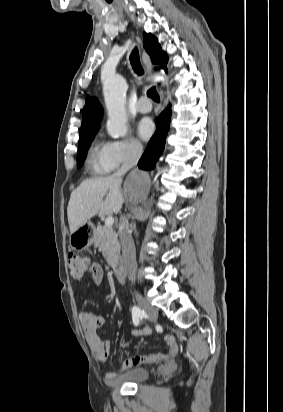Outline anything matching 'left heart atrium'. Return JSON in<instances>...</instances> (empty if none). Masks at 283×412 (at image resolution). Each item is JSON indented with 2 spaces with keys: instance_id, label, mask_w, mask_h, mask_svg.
I'll use <instances>...</instances> for the list:
<instances>
[{
  "instance_id": "39dd6f15",
  "label": "left heart atrium",
  "mask_w": 283,
  "mask_h": 412,
  "mask_svg": "<svg viewBox=\"0 0 283 412\" xmlns=\"http://www.w3.org/2000/svg\"><path fill=\"white\" fill-rule=\"evenodd\" d=\"M154 132V124L149 119H143L138 125V135L143 140H148Z\"/></svg>"
}]
</instances>
